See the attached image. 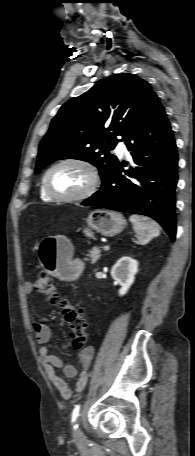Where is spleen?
I'll return each instance as SVG.
<instances>
[{
  "label": "spleen",
  "instance_id": "1",
  "mask_svg": "<svg viewBox=\"0 0 195 456\" xmlns=\"http://www.w3.org/2000/svg\"><path fill=\"white\" fill-rule=\"evenodd\" d=\"M129 220L133 224L138 243L144 245L152 238L160 235L159 225L152 219L139 215H131Z\"/></svg>",
  "mask_w": 195,
  "mask_h": 456
}]
</instances>
